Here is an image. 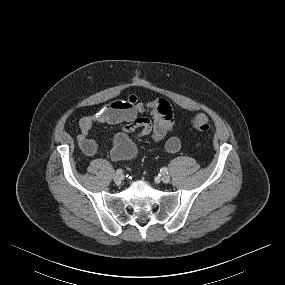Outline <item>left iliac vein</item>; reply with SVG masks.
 <instances>
[{"mask_svg": "<svg viewBox=\"0 0 285 285\" xmlns=\"http://www.w3.org/2000/svg\"><path fill=\"white\" fill-rule=\"evenodd\" d=\"M161 180H162L163 183H169L170 180H171V178H170V176L167 175V174H162Z\"/></svg>", "mask_w": 285, "mask_h": 285, "instance_id": "obj_1", "label": "left iliac vein"}]
</instances>
